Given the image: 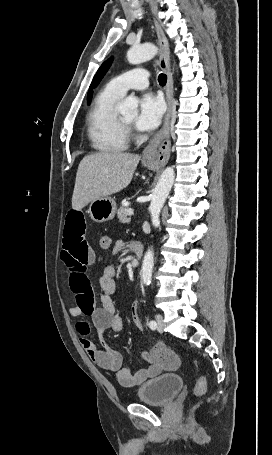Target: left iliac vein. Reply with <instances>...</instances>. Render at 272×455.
Wrapping results in <instances>:
<instances>
[{"label":"left iliac vein","mask_w":272,"mask_h":455,"mask_svg":"<svg viewBox=\"0 0 272 455\" xmlns=\"http://www.w3.org/2000/svg\"><path fill=\"white\" fill-rule=\"evenodd\" d=\"M157 330L163 332V317L160 314L156 315Z\"/></svg>","instance_id":"1"}]
</instances>
